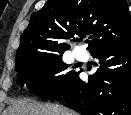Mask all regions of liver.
Instances as JSON below:
<instances>
[{
  "instance_id": "liver-1",
  "label": "liver",
  "mask_w": 131,
  "mask_h": 115,
  "mask_svg": "<svg viewBox=\"0 0 131 115\" xmlns=\"http://www.w3.org/2000/svg\"><path fill=\"white\" fill-rule=\"evenodd\" d=\"M4 115H76L58 105L39 104L29 99L13 101Z\"/></svg>"
}]
</instances>
